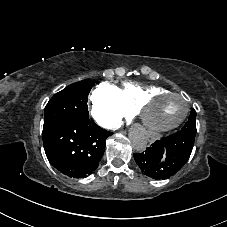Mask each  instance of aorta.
<instances>
[{"instance_id":"1","label":"aorta","mask_w":227,"mask_h":227,"mask_svg":"<svg viewBox=\"0 0 227 227\" xmlns=\"http://www.w3.org/2000/svg\"><path fill=\"white\" fill-rule=\"evenodd\" d=\"M131 142L134 150L137 152H143L147 147V140L142 132L133 133L131 136Z\"/></svg>"}]
</instances>
